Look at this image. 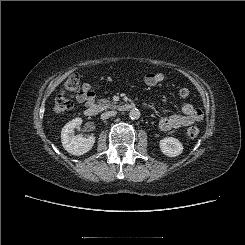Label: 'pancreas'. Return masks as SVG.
Segmentation results:
<instances>
[{
	"mask_svg": "<svg viewBox=\"0 0 245 245\" xmlns=\"http://www.w3.org/2000/svg\"><path fill=\"white\" fill-rule=\"evenodd\" d=\"M98 106L102 109V110H106V109H115L117 106L114 105L113 103H111L109 100L107 99H100L98 101Z\"/></svg>",
	"mask_w": 245,
	"mask_h": 245,
	"instance_id": "obj_1",
	"label": "pancreas"
}]
</instances>
